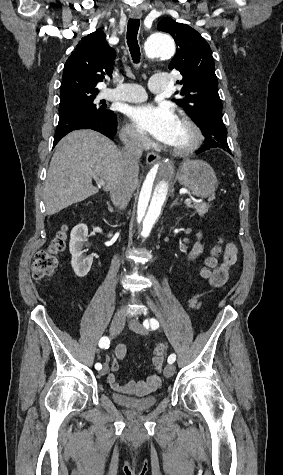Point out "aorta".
Instances as JSON below:
<instances>
[{"label":"aorta","mask_w":283,"mask_h":475,"mask_svg":"<svg viewBox=\"0 0 283 475\" xmlns=\"http://www.w3.org/2000/svg\"><path fill=\"white\" fill-rule=\"evenodd\" d=\"M144 50L148 58L169 59L175 54L173 39L163 33L152 34ZM174 163L165 159L155 164L142 185L131 223V233L141 241L147 240L161 217L174 181Z\"/></svg>","instance_id":"obj_1"}]
</instances>
